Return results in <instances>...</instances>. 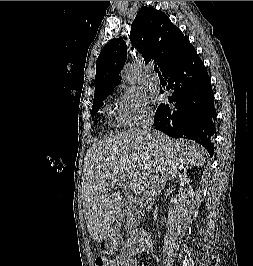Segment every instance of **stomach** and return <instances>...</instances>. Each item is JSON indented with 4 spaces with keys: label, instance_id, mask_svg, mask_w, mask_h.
I'll use <instances>...</instances> for the list:
<instances>
[{
    "label": "stomach",
    "instance_id": "1",
    "mask_svg": "<svg viewBox=\"0 0 253 266\" xmlns=\"http://www.w3.org/2000/svg\"><path fill=\"white\" fill-rule=\"evenodd\" d=\"M117 243L116 239H114L111 234L107 233L98 241V247L102 252L110 253L115 249Z\"/></svg>",
    "mask_w": 253,
    "mask_h": 266
}]
</instances>
